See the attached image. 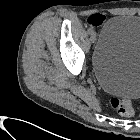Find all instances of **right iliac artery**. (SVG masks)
<instances>
[{
  "label": "right iliac artery",
  "mask_w": 140,
  "mask_h": 140,
  "mask_svg": "<svg viewBox=\"0 0 140 140\" xmlns=\"http://www.w3.org/2000/svg\"><path fill=\"white\" fill-rule=\"evenodd\" d=\"M93 32L92 28L88 29V33L91 34Z\"/></svg>",
  "instance_id": "82829eb1"
}]
</instances>
